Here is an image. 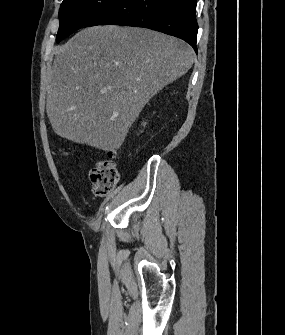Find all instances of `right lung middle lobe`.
<instances>
[{
    "mask_svg": "<svg viewBox=\"0 0 285 335\" xmlns=\"http://www.w3.org/2000/svg\"><path fill=\"white\" fill-rule=\"evenodd\" d=\"M114 1L63 0L59 10L60 27L56 42L59 43L75 30L81 28L86 22L109 7Z\"/></svg>",
    "mask_w": 285,
    "mask_h": 335,
    "instance_id": "right-lung-middle-lobe-1",
    "label": "right lung middle lobe"
}]
</instances>
